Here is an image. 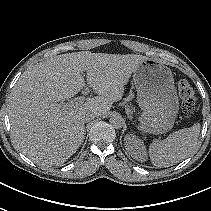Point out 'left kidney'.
<instances>
[{
	"mask_svg": "<svg viewBox=\"0 0 211 211\" xmlns=\"http://www.w3.org/2000/svg\"><path fill=\"white\" fill-rule=\"evenodd\" d=\"M125 148L129 155L134 159L144 162L146 161V149L143 142L132 135H126L124 138Z\"/></svg>",
	"mask_w": 211,
	"mask_h": 211,
	"instance_id": "1",
	"label": "left kidney"
}]
</instances>
